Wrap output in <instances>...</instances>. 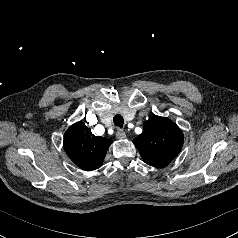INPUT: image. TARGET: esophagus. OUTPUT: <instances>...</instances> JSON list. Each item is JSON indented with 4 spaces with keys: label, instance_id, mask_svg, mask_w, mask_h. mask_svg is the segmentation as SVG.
Segmentation results:
<instances>
[{
    "label": "esophagus",
    "instance_id": "1",
    "mask_svg": "<svg viewBox=\"0 0 238 238\" xmlns=\"http://www.w3.org/2000/svg\"><path fill=\"white\" fill-rule=\"evenodd\" d=\"M116 137L118 139H124L126 138V133L122 129H118V131L116 132Z\"/></svg>",
    "mask_w": 238,
    "mask_h": 238
}]
</instances>
